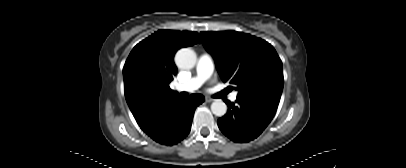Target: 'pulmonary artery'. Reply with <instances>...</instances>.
Masks as SVG:
<instances>
[{
  "label": "pulmonary artery",
  "mask_w": 406,
  "mask_h": 168,
  "mask_svg": "<svg viewBox=\"0 0 406 168\" xmlns=\"http://www.w3.org/2000/svg\"><path fill=\"white\" fill-rule=\"evenodd\" d=\"M214 71V61L210 54L203 53L200 55L198 59V63L196 66V73L191 78L187 79L186 81L177 83L175 85V90L181 92H193L199 89L203 83L210 78ZM237 98V93L234 92L230 95V99L235 101Z\"/></svg>",
  "instance_id": "obj_1"
}]
</instances>
